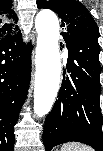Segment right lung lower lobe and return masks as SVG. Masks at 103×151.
I'll return each instance as SVG.
<instances>
[{"label":"right lung lower lobe","instance_id":"right-lung-lower-lobe-1","mask_svg":"<svg viewBox=\"0 0 103 151\" xmlns=\"http://www.w3.org/2000/svg\"><path fill=\"white\" fill-rule=\"evenodd\" d=\"M30 58L21 32L0 39V151L14 149V125L27 96Z\"/></svg>","mask_w":103,"mask_h":151}]
</instances>
